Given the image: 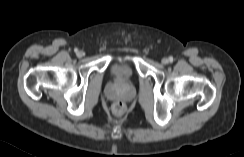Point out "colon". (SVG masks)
<instances>
[{
	"label": "colon",
	"mask_w": 244,
	"mask_h": 157,
	"mask_svg": "<svg viewBox=\"0 0 244 157\" xmlns=\"http://www.w3.org/2000/svg\"><path fill=\"white\" fill-rule=\"evenodd\" d=\"M113 112L115 115L117 116H121L124 114L125 112V109H126V106L124 104V102L122 101H116L114 104H113Z\"/></svg>",
	"instance_id": "5ec220e1"
}]
</instances>
